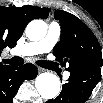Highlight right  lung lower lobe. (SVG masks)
I'll list each match as a JSON object with an SVG mask.
<instances>
[{
  "mask_svg": "<svg viewBox=\"0 0 103 103\" xmlns=\"http://www.w3.org/2000/svg\"><path fill=\"white\" fill-rule=\"evenodd\" d=\"M36 76L37 69L32 64H25L20 67H1L0 103H12L21 83Z\"/></svg>",
  "mask_w": 103,
  "mask_h": 103,
  "instance_id": "right-lung-lower-lobe-1",
  "label": "right lung lower lobe"
}]
</instances>
